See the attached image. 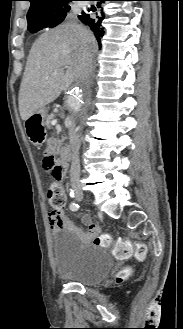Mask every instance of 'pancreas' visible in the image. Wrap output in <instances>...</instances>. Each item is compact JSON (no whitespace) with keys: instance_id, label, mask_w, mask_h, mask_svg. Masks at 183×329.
I'll return each mask as SVG.
<instances>
[{"instance_id":"pancreas-1","label":"pancreas","mask_w":183,"mask_h":329,"mask_svg":"<svg viewBox=\"0 0 183 329\" xmlns=\"http://www.w3.org/2000/svg\"><path fill=\"white\" fill-rule=\"evenodd\" d=\"M55 115L51 114L49 116L46 117L45 119V125L47 128H51V121L54 119Z\"/></svg>"}]
</instances>
